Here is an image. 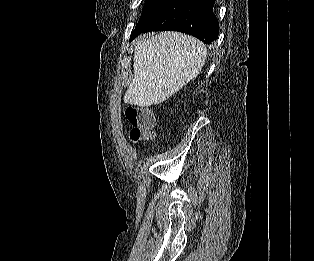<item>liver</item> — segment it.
I'll list each match as a JSON object with an SVG mask.
<instances>
[{
  "label": "liver",
  "instance_id": "1",
  "mask_svg": "<svg viewBox=\"0 0 314 261\" xmlns=\"http://www.w3.org/2000/svg\"><path fill=\"white\" fill-rule=\"evenodd\" d=\"M207 57L205 45L178 32L145 36L135 44L134 78L125 95L127 104H159L197 77Z\"/></svg>",
  "mask_w": 314,
  "mask_h": 261
}]
</instances>
